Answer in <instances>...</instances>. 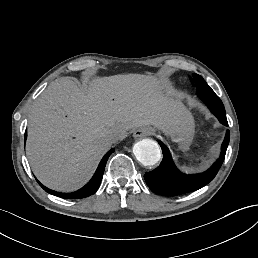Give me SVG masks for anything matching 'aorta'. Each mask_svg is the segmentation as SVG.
Returning a JSON list of instances; mask_svg holds the SVG:
<instances>
[{"label": "aorta", "mask_w": 258, "mask_h": 258, "mask_svg": "<svg viewBox=\"0 0 258 258\" xmlns=\"http://www.w3.org/2000/svg\"><path fill=\"white\" fill-rule=\"evenodd\" d=\"M136 159L144 166L157 164L161 159V150L157 142L151 139H143L133 146Z\"/></svg>", "instance_id": "aorta-1"}]
</instances>
